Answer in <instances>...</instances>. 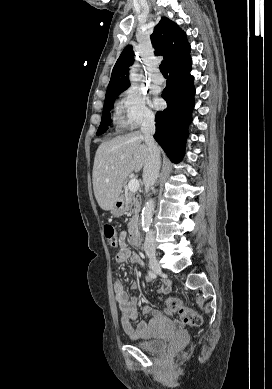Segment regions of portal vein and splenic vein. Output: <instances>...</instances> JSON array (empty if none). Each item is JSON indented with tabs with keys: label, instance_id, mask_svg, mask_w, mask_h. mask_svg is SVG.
Listing matches in <instances>:
<instances>
[{
	"label": "portal vein and splenic vein",
	"instance_id": "obj_1",
	"mask_svg": "<svg viewBox=\"0 0 272 389\" xmlns=\"http://www.w3.org/2000/svg\"><path fill=\"white\" fill-rule=\"evenodd\" d=\"M128 189L130 192H136L139 189V181L137 179H131L128 183Z\"/></svg>",
	"mask_w": 272,
	"mask_h": 389
}]
</instances>
